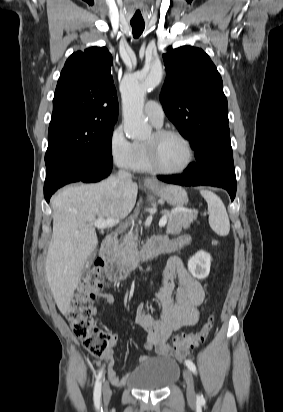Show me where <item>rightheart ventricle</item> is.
<instances>
[{
	"label": "right heart ventricle",
	"instance_id": "1",
	"mask_svg": "<svg viewBox=\"0 0 283 412\" xmlns=\"http://www.w3.org/2000/svg\"><path fill=\"white\" fill-rule=\"evenodd\" d=\"M130 168L136 172L152 171L146 156L145 144L141 142L134 143V158Z\"/></svg>",
	"mask_w": 283,
	"mask_h": 412
}]
</instances>
